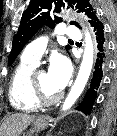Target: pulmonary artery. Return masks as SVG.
<instances>
[{
    "mask_svg": "<svg viewBox=\"0 0 117 136\" xmlns=\"http://www.w3.org/2000/svg\"><path fill=\"white\" fill-rule=\"evenodd\" d=\"M61 37L77 40L81 37L80 31L74 27L67 26L61 31ZM47 47V41L43 38L30 43L22 53V60L38 64Z\"/></svg>",
    "mask_w": 117,
    "mask_h": 136,
    "instance_id": "1",
    "label": "pulmonary artery"
}]
</instances>
